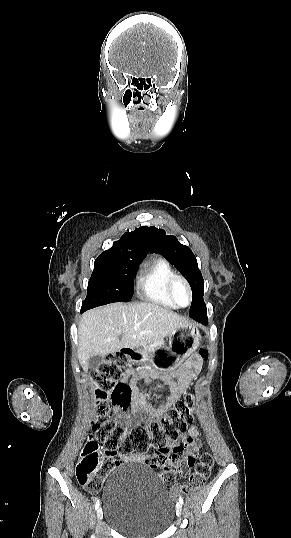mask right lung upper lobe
Masks as SVG:
<instances>
[{
    "mask_svg": "<svg viewBox=\"0 0 291 538\" xmlns=\"http://www.w3.org/2000/svg\"><path fill=\"white\" fill-rule=\"evenodd\" d=\"M151 250L150 232L147 226L126 232L120 240L104 251L99 257H127L130 259H144Z\"/></svg>",
    "mask_w": 291,
    "mask_h": 538,
    "instance_id": "obj_1",
    "label": "right lung upper lobe"
}]
</instances>
